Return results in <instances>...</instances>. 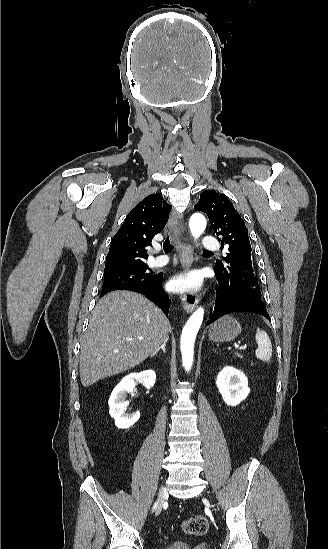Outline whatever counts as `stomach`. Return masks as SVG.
Masks as SVG:
<instances>
[{
    "label": "stomach",
    "instance_id": "stomach-1",
    "mask_svg": "<svg viewBox=\"0 0 328 549\" xmlns=\"http://www.w3.org/2000/svg\"><path fill=\"white\" fill-rule=\"evenodd\" d=\"M242 329L240 323L230 317V315H225L221 317L218 321H215L209 329V339L213 343H226V341H233L238 335H240Z\"/></svg>",
    "mask_w": 328,
    "mask_h": 549
}]
</instances>
